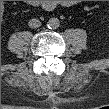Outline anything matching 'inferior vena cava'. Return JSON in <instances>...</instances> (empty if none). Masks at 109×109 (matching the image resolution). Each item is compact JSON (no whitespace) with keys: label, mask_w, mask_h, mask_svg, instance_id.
<instances>
[{"label":"inferior vena cava","mask_w":109,"mask_h":109,"mask_svg":"<svg viewBox=\"0 0 109 109\" xmlns=\"http://www.w3.org/2000/svg\"><path fill=\"white\" fill-rule=\"evenodd\" d=\"M29 27L31 28H38L41 26V21L36 19V18H33V19H30L29 20V23H28Z\"/></svg>","instance_id":"1"}]
</instances>
